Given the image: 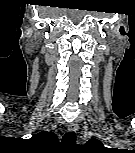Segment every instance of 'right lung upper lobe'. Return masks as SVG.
I'll list each match as a JSON object with an SVG mask.
<instances>
[{"label":"right lung upper lobe","instance_id":"cb5924a9","mask_svg":"<svg viewBox=\"0 0 135 153\" xmlns=\"http://www.w3.org/2000/svg\"><path fill=\"white\" fill-rule=\"evenodd\" d=\"M31 140H35L38 142H54L58 141L57 136L53 132L42 131L34 135Z\"/></svg>","mask_w":135,"mask_h":153}]
</instances>
